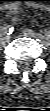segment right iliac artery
<instances>
[{
	"label": "right iliac artery",
	"instance_id": "1",
	"mask_svg": "<svg viewBox=\"0 0 50 111\" xmlns=\"http://www.w3.org/2000/svg\"><path fill=\"white\" fill-rule=\"evenodd\" d=\"M2 34L10 35L13 32V27L10 25L4 26L2 29Z\"/></svg>",
	"mask_w": 50,
	"mask_h": 111
}]
</instances>
